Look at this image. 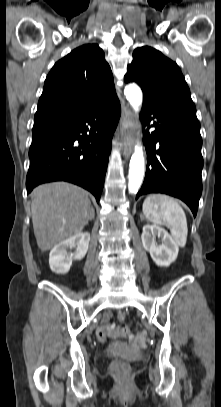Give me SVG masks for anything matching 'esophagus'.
Segmentation results:
<instances>
[{
    "label": "esophagus",
    "instance_id": "esophagus-1",
    "mask_svg": "<svg viewBox=\"0 0 221 407\" xmlns=\"http://www.w3.org/2000/svg\"><path fill=\"white\" fill-rule=\"evenodd\" d=\"M121 124L125 132L122 142V150L123 155L126 159H128L134 145V136L132 134V130L135 126L134 114L129 107H125V109L123 110Z\"/></svg>",
    "mask_w": 221,
    "mask_h": 407
}]
</instances>
